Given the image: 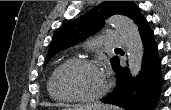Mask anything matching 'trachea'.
Wrapping results in <instances>:
<instances>
[{
  "label": "trachea",
  "mask_w": 171,
  "mask_h": 110,
  "mask_svg": "<svg viewBox=\"0 0 171 110\" xmlns=\"http://www.w3.org/2000/svg\"><path fill=\"white\" fill-rule=\"evenodd\" d=\"M115 50H120V48H116Z\"/></svg>",
  "instance_id": "3493384b"
}]
</instances>
